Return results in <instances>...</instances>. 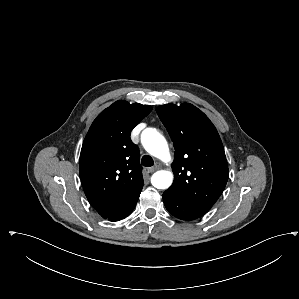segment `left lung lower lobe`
<instances>
[{
  "label": "left lung lower lobe",
  "mask_w": 299,
  "mask_h": 299,
  "mask_svg": "<svg viewBox=\"0 0 299 299\" xmlns=\"http://www.w3.org/2000/svg\"><path fill=\"white\" fill-rule=\"evenodd\" d=\"M163 200L169 213L181 220L191 221L202 217L208 212L188 202L170 189L163 193Z\"/></svg>",
  "instance_id": "1"
}]
</instances>
